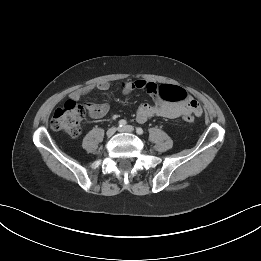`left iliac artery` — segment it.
Here are the masks:
<instances>
[{
	"mask_svg": "<svg viewBox=\"0 0 261 261\" xmlns=\"http://www.w3.org/2000/svg\"><path fill=\"white\" fill-rule=\"evenodd\" d=\"M137 134L141 135L143 134V129L141 127L136 128Z\"/></svg>",
	"mask_w": 261,
	"mask_h": 261,
	"instance_id": "left-iliac-artery-1",
	"label": "left iliac artery"
}]
</instances>
